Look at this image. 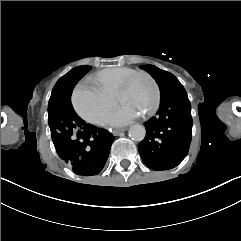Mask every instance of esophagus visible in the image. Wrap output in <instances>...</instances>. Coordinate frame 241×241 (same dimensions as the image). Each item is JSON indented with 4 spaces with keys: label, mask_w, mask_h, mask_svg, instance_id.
<instances>
[{
    "label": "esophagus",
    "mask_w": 241,
    "mask_h": 241,
    "mask_svg": "<svg viewBox=\"0 0 241 241\" xmlns=\"http://www.w3.org/2000/svg\"><path fill=\"white\" fill-rule=\"evenodd\" d=\"M125 131H126L125 128L115 129V130H113L112 134H113L114 136H118L120 133L125 132Z\"/></svg>",
    "instance_id": "34e87169"
}]
</instances>
